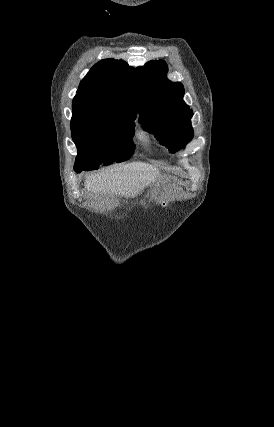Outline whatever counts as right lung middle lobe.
I'll return each instance as SVG.
<instances>
[{
    "label": "right lung middle lobe",
    "instance_id": "1",
    "mask_svg": "<svg viewBox=\"0 0 274 427\" xmlns=\"http://www.w3.org/2000/svg\"><path fill=\"white\" fill-rule=\"evenodd\" d=\"M136 114L125 109L73 112L71 132L78 149L74 167L94 170L127 160L134 149Z\"/></svg>",
    "mask_w": 274,
    "mask_h": 427
}]
</instances>
